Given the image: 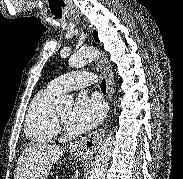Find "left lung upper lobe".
<instances>
[{
    "label": "left lung upper lobe",
    "mask_w": 183,
    "mask_h": 179,
    "mask_svg": "<svg viewBox=\"0 0 183 179\" xmlns=\"http://www.w3.org/2000/svg\"><path fill=\"white\" fill-rule=\"evenodd\" d=\"M93 37L96 41H99L98 38H97V32L96 31H93Z\"/></svg>",
    "instance_id": "1"
}]
</instances>
